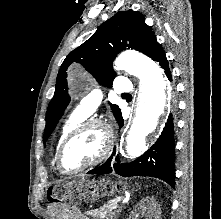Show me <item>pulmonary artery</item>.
I'll use <instances>...</instances> for the list:
<instances>
[{"label":"pulmonary artery","mask_w":221,"mask_h":219,"mask_svg":"<svg viewBox=\"0 0 221 219\" xmlns=\"http://www.w3.org/2000/svg\"><path fill=\"white\" fill-rule=\"evenodd\" d=\"M115 92L121 95H129L132 92V84L128 77L118 76L115 80ZM102 101V93L100 90L91 92L76 108V112L82 116L88 117L92 115L99 107Z\"/></svg>","instance_id":"e3ab8cb5"}]
</instances>
